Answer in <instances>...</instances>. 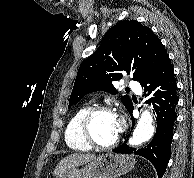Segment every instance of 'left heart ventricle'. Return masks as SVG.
I'll return each instance as SVG.
<instances>
[{
	"label": "left heart ventricle",
	"instance_id": "obj_1",
	"mask_svg": "<svg viewBox=\"0 0 194 178\" xmlns=\"http://www.w3.org/2000/svg\"><path fill=\"white\" fill-rule=\"evenodd\" d=\"M94 139L102 144L111 142L117 135L116 116L110 113L97 114L91 123Z\"/></svg>",
	"mask_w": 194,
	"mask_h": 178
}]
</instances>
